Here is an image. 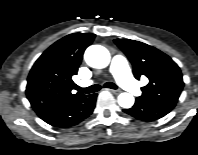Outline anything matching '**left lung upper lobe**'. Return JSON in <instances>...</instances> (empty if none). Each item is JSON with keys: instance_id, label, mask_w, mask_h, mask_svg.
Returning a JSON list of instances; mask_svg holds the SVG:
<instances>
[{"instance_id": "1", "label": "left lung upper lobe", "mask_w": 198, "mask_h": 155, "mask_svg": "<svg viewBox=\"0 0 198 155\" xmlns=\"http://www.w3.org/2000/svg\"><path fill=\"white\" fill-rule=\"evenodd\" d=\"M116 45L126 54L133 65L134 76L145 75L149 84L142 87L138 100L146 103L176 104L184 82L178 65L160 50L130 39H116Z\"/></svg>"}]
</instances>
